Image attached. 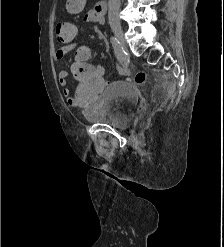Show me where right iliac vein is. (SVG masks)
I'll use <instances>...</instances> for the list:
<instances>
[{
    "label": "right iliac vein",
    "instance_id": "right-iliac-vein-1",
    "mask_svg": "<svg viewBox=\"0 0 224 247\" xmlns=\"http://www.w3.org/2000/svg\"><path fill=\"white\" fill-rule=\"evenodd\" d=\"M111 29L119 41L120 45L122 48H125V40H124V34H123V29L120 24H112Z\"/></svg>",
    "mask_w": 224,
    "mask_h": 247
}]
</instances>
